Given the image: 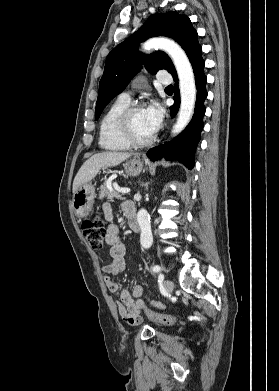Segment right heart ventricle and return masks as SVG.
I'll return each instance as SVG.
<instances>
[{
  "instance_id": "1",
  "label": "right heart ventricle",
  "mask_w": 279,
  "mask_h": 391,
  "mask_svg": "<svg viewBox=\"0 0 279 391\" xmlns=\"http://www.w3.org/2000/svg\"><path fill=\"white\" fill-rule=\"evenodd\" d=\"M130 100L118 97L104 113L99 127V144L101 148L109 151H122L130 149L121 137L118 129V118Z\"/></svg>"
}]
</instances>
